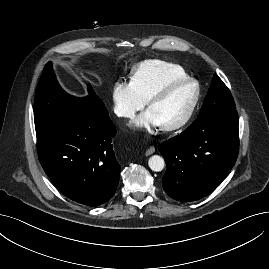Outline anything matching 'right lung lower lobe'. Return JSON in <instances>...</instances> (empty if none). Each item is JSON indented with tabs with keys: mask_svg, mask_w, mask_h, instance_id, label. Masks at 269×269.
Segmentation results:
<instances>
[{
	"mask_svg": "<svg viewBox=\"0 0 269 269\" xmlns=\"http://www.w3.org/2000/svg\"><path fill=\"white\" fill-rule=\"evenodd\" d=\"M115 134L109 117L84 111L70 125L37 138L40 163L66 197L98 206L114 195L119 182L121 167L111 144Z\"/></svg>",
	"mask_w": 269,
	"mask_h": 269,
	"instance_id": "98d812e1",
	"label": "right lung lower lobe"
}]
</instances>
